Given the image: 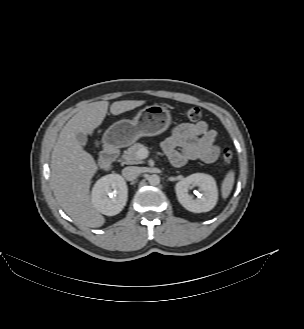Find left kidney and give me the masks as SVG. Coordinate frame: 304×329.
I'll return each instance as SVG.
<instances>
[{"instance_id": "1", "label": "left kidney", "mask_w": 304, "mask_h": 329, "mask_svg": "<svg viewBox=\"0 0 304 329\" xmlns=\"http://www.w3.org/2000/svg\"><path fill=\"white\" fill-rule=\"evenodd\" d=\"M199 187L201 196L194 199L189 194L193 187ZM175 191L180 204L194 213L208 212L214 208L218 199V190L214 178L203 173H194L180 180L175 185Z\"/></svg>"}]
</instances>
